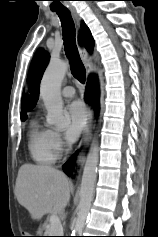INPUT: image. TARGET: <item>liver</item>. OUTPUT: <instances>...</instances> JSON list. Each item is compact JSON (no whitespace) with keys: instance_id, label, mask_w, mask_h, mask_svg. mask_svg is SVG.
Wrapping results in <instances>:
<instances>
[{"instance_id":"6515ba94","label":"liver","mask_w":158,"mask_h":237,"mask_svg":"<svg viewBox=\"0 0 158 237\" xmlns=\"http://www.w3.org/2000/svg\"><path fill=\"white\" fill-rule=\"evenodd\" d=\"M72 184L65 174L45 165L23 164L18 171L15 195L31 218L62 212L70 201Z\"/></svg>"}]
</instances>
